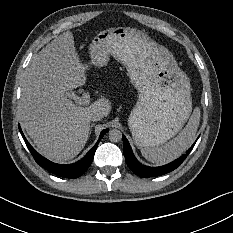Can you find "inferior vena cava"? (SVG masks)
Returning <instances> with one entry per match:
<instances>
[{
    "instance_id": "602c4592",
    "label": "inferior vena cava",
    "mask_w": 233,
    "mask_h": 233,
    "mask_svg": "<svg viewBox=\"0 0 233 233\" xmlns=\"http://www.w3.org/2000/svg\"><path fill=\"white\" fill-rule=\"evenodd\" d=\"M103 113L100 111V110H93L90 114H89V116H88V118H89V120H91V121H98V120H102L103 119Z\"/></svg>"
}]
</instances>
